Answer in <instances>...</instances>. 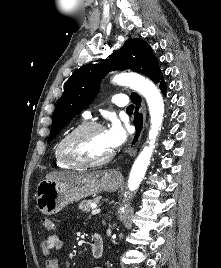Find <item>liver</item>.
Returning <instances> with one entry per match:
<instances>
[{"label": "liver", "mask_w": 221, "mask_h": 268, "mask_svg": "<svg viewBox=\"0 0 221 268\" xmlns=\"http://www.w3.org/2000/svg\"><path fill=\"white\" fill-rule=\"evenodd\" d=\"M104 174L102 171L96 172H61L53 171L46 175V180L48 181H64V182H78L82 180H92L101 177Z\"/></svg>", "instance_id": "1"}]
</instances>
